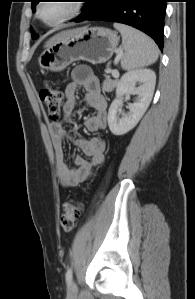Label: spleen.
Returning a JSON list of instances; mask_svg holds the SVG:
<instances>
[{
    "label": "spleen",
    "instance_id": "1",
    "mask_svg": "<svg viewBox=\"0 0 195 299\" xmlns=\"http://www.w3.org/2000/svg\"><path fill=\"white\" fill-rule=\"evenodd\" d=\"M113 26L122 35L121 66L124 70L149 66L158 59L159 49L150 37L124 24L114 23Z\"/></svg>",
    "mask_w": 195,
    "mask_h": 299
}]
</instances>
